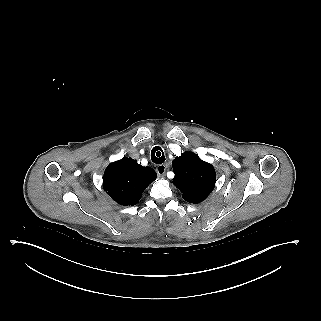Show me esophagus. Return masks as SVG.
Instances as JSON below:
<instances>
[{
	"instance_id": "1",
	"label": "esophagus",
	"mask_w": 321,
	"mask_h": 321,
	"mask_svg": "<svg viewBox=\"0 0 321 321\" xmlns=\"http://www.w3.org/2000/svg\"><path fill=\"white\" fill-rule=\"evenodd\" d=\"M167 166L165 164L158 165L156 168L157 174L159 177H164L165 176V171H166Z\"/></svg>"
}]
</instances>
